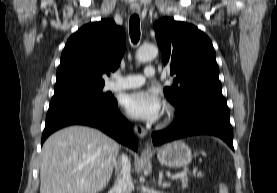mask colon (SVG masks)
<instances>
[{
	"label": "colon",
	"mask_w": 277,
	"mask_h": 193,
	"mask_svg": "<svg viewBox=\"0 0 277 193\" xmlns=\"http://www.w3.org/2000/svg\"><path fill=\"white\" fill-rule=\"evenodd\" d=\"M218 193H229V189L225 183L219 185Z\"/></svg>",
	"instance_id": "obj_1"
}]
</instances>
